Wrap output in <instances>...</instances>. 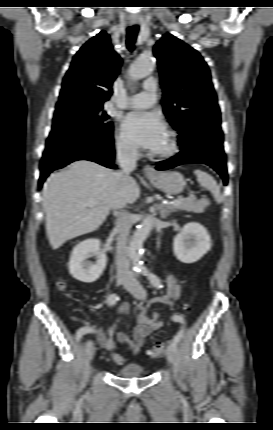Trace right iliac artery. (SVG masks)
Returning a JSON list of instances; mask_svg holds the SVG:
<instances>
[{
	"instance_id": "82829eb1",
	"label": "right iliac artery",
	"mask_w": 273,
	"mask_h": 430,
	"mask_svg": "<svg viewBox=\"0 0 273 430\" xmlns=\"http://www.w3.org/2000/svg\"><path fill=\"white\" fill-rule=\"evenodd\" d=\"M118 300L119 297L117 296V294L113 293L108 296L107 303L110 306H114ZM93 333L94 332L92 330H77L76 339L79 341L80 338H83V335H92Z\"/></svg>"
}]
</instances>
